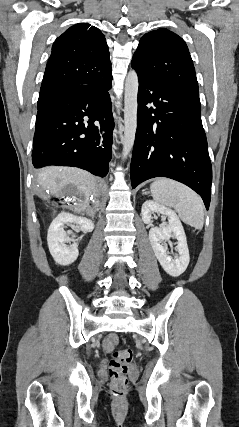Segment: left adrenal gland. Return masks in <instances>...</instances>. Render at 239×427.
<instances>
[{"label":"left adrenal gland","mask_w":239,"mask_h":427,"mask_svg":"<svg viewBox=\"0 0 239 427\" xmlns=\"http://www.w3.org/2000/svg\"><path fill=\"white\" fill-rule=\"evenodd\" d=\"M143 194H148V192H144V190H143Z\"/></svg>","instance_id":"1"}]
</instances>
